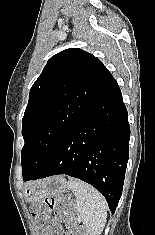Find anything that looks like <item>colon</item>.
Instances as JSON below:
<instances>
[{
    "instance_id": "5ec220e1",
    "label": "colon",
    "mask_w": 155,
    "mask_h": 235,
    "mask_svg": "<svg viewBox=\"0 0 155 235\" xmlns=\"http://www.w3.org/2000/svg\"><path fill=\"white\" fill-rule=\"evenodd\" d=\"M74 203L66 196H46L34 209V217L42 228L44 235H88L82 223L72 217ZM59 221L66 223V228L60 234Z\"/></svg>"
}]
</instances>
